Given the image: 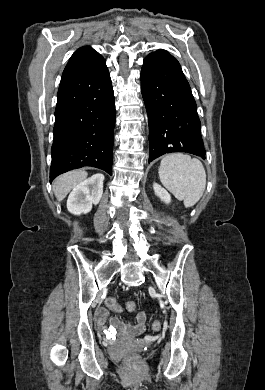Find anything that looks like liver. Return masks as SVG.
I'll list each match as a JSON object with an SVG mask.
<instances>
[{
    "label": "liver",
    "mask_w": 265,
    "mask_h": 390,
    "mask_svg": "<svg viewBox=\"0 0 265 390\" xmlns=\"http://www.w3.org/2000/svg\"><path fill=\"white\" fill-rule=\"evenodd\" d=\"M88 176L85 170H74L59 176L53 185L56 198L62 201L67 194Z\"/></svg>",
    "instance_id": "liver-1"
}]
</instances>
